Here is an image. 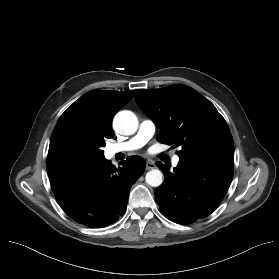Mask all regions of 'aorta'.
I'll use <instances>...</instances> for the list:
<instances>
[{"label":"aorta","instance_id":"1","mask_svg":"<svg viewBox=\"0 0 279 279\" xmlns=\"http://www.w3.org/2000/svg\"><path fill=\"white\" fill-rule=\"evenodd\" d=\"M113 127L119 134L132 135L137 131L138 119L133 112L123 110L115 115ZM145 180L148 185L158 187L163 183V174L159 169H153L147 172Z\"/></svg>","mask_w":279,"mask_h":279}]
</instances>
